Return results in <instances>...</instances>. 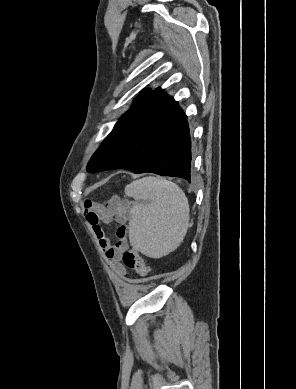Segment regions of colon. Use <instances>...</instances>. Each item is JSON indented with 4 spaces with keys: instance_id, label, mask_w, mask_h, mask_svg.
I'll return each mask as SVG.
<instances>
[{
    "instance_id": "5ec220e1",
    "label": "colon",
    "mask_w": 296,
    "mask_h": 389,
    "mask_svg": "<svg viewBox=\"0 0 296 389\" xmlns=\"http://www.w3.org/2000/svg\"><path fill=\"white\" fill-rule=\"evenodd\" d=\"M122 260L126 267L134 270L139 276H148L150 267L144 262L143 258L137 250H126L122 256Z\"/></svg>"
}]
</instances>
